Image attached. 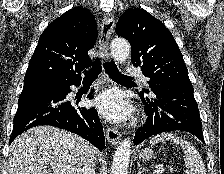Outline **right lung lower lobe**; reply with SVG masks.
I'll return each instance as SVG.
<instances>
[{"label": "right lung lower lobe", "instance_id": "right-lung-lower-lobe-1", "mask_svg": "<svg viewBox=\"0 0 224 174\" xmlns=\"http://www.w3.org/2000/svg\"><path fill=\"white\" fill-rule=\"evenodd\" d=\"M81 78L43 83L23 88L14 117L12 141L25 130L51 125L82 136L98 149L105 147L102 124L96 109L76 108L66 99L70 86H79ZM92 94L88 98H92Z\"/></svg>", "mask_w": 224, "mask_h": 174}]
</instances>
